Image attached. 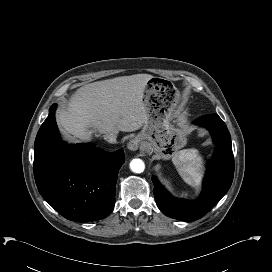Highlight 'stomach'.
<instances>
[{
	"label": "stomach",
	"instance_id": "stomach-1",
	"mask_svg": "<svg viewBox=\"0 0 272 272\" xmlns=\"http://www.w3.org/2000/svg\"><path fill=\"white\" fill-rule=\"evenodd\" d=\"M178 97L177 88L161 77H152L143 92L148 120L138 139L161 159H169L187 143L185 131L175 121Z\"/></svg>",
	"mask_w": 272,
	"mask_h": 272
}]
</instances>
